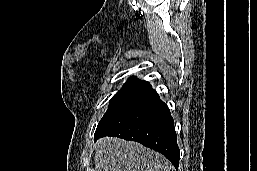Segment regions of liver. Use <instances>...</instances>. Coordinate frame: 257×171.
<instances>
[{"mask_svg": "<svg viewBox=\"0 0 257 171\" xmlns=\"http://www.w3.org/2000/svg\"><path fill=\"white\" fill-rule=\"evenodd\" d=\"M96 171H175L160 153L114 137L100 139L95 146Z\"/></svg>", "mask_w": 257, "mask_h": 171, "instance_id": "obj_1", "label": "liver"}]
</instances>
